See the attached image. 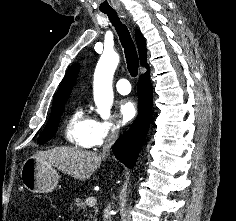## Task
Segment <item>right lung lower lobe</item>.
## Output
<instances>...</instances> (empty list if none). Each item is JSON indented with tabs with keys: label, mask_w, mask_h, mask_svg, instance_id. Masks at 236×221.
I'll return each mask as SVG.
<instances>
[{
	"label": "right lung lower lobe",
	"mask_w": 236,
	"mask_h": 221,
	"mask_svg": "<svg viewBox=\"0 0 236 221\" xmlns=\"http://www.w3.org/2000/svg\"><path fill=\"white\" fill-rule=\"evenodd\" d=\"M137 88L139 97L138 117L112 148L115 156L129 168H132L137 160L151 121L153 89L149 71L140 76Z\"/></svg>",
	"instance_id": "98d812e1"
}]
</instances>
